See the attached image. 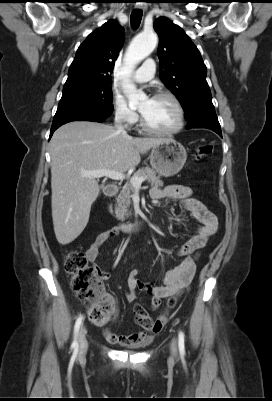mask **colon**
Returning <instances> with one entry per match:
<instances>
[{"mask_svg":"<svg viewBox=\"0 0 272 401\" xmlns=\"http://www.w3.org/2000/svg\"><path fill=\"white\" fill-rule=\"evenodd\" d=\"M212 144H200L197 147L196 158L203 159L213 153ZM65 270L72 276V289L80 301L87 302L90 306L87 309L89 320L96 326H106L113 318L114 306L103 292L98 274L95 268L88 265L85 255L77 250L71 251L65 260ZM175 298H170L168 308L174 307ZM137 321L151 327L163 324L167 319V314L153 320L146 310L139 306L135 310Z\"/></svg>","mask_w":272,"mask_h":401,"instance_id":"5ec220e1","label":"colon"}]
</instances>
